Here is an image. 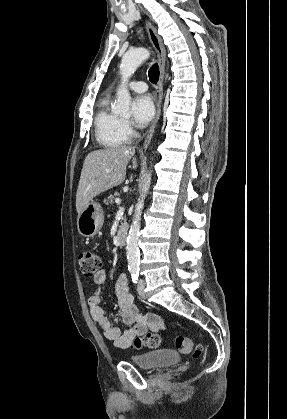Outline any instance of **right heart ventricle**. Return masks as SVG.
<instances>
[{
	"mask_svg": "<svg viewBox=\"0 0 287 419\" xmlns=\"http://www.w3.org/2000/svg\"><path fill=\"white\" fill-rule=\"evenodd\" d=\"M109 103V97L98 103L94 118L95 137L101 146L115 148L126 144L128 138L123 133L121 118L110 110Z\"/></svg>",
	"mask_w": 287,
	"mask_h": 419,
	"instance_id": "obj_1",
	"label": "right heart ventricle"
}]
</instances>
